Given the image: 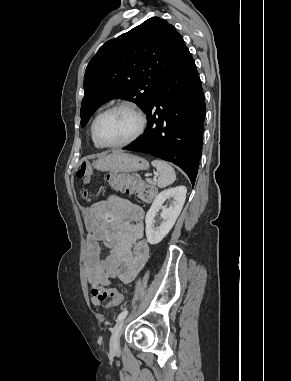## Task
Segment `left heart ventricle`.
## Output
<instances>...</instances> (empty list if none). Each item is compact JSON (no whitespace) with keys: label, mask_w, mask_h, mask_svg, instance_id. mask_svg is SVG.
<instances>
[{"label":"left heart ventricle","mask_w":291,"mask_h":381,"mask_svg":"<svg viewBox=\"0 0 291 381\" xmlns=\"http://www.w3.org/2000/svg\"><path fill=\"white\" fill-rule=\"evenodd\" d=\"M138 117L126 108L114 110L98 123V134L107 143H119L131 137L138 127Z\"/></svg>","instance_id":"b2bd125f"}]
</instances>
